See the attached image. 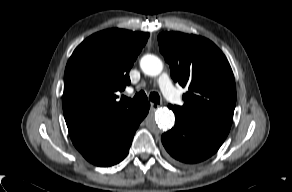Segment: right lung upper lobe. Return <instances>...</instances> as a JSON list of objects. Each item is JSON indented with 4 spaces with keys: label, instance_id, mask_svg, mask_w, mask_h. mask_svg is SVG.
Listing matches in <instances>:
<instances>
[{
    "label": "right lung upper lobe",
    "instance_id": "right-lung-upper-lobe-1",
    "mask_svg": "<svg viewBox=\"0 0 292 192\" xmlns=\"http://www.w3.org/2000/svg\"><path fill=\"white\" fill-rule=\"evenodd\" d=\"M148 37L149 33L112 28L91 35L74 50L64 73L66 124L106 120L137 106L116 101L115 92L130 84V68Z\"/></svg>",
    "mask_w": 292,
    "mask_h": 192
}]
</instances>
